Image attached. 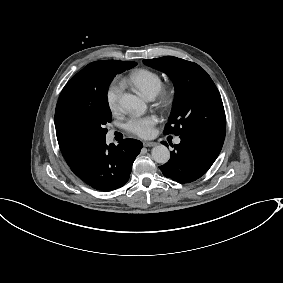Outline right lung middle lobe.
Masks as SVG:
<instances>
[{
  "instance_id": "obj_1",
  "label": "right lung middle lobe",
  "mask_w": 283,
  "mask_h": 283,
  "mask_svg": "<svg viewBox=\"0 0 283 283\" xmlns=\"http://www.w3.org/2000/svg\"><path fill=\"white\" fill-rule=\"evenodd\" d=\"M136 64V62H125L115 65L108 71L107 80L99 93L91 94L70 106V116L78 127L93 136L105 139L107 133L105 125L112 119L107 100L109 84L116 74L130 69Z\"/></svg>"
}]
</instances>
